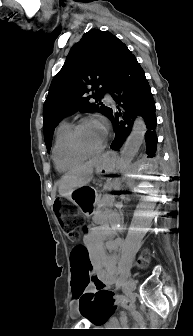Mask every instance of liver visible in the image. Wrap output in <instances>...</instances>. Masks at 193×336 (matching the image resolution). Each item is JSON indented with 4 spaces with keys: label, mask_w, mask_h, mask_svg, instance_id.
<instances>
[{
    "label": "liver",
    "mask_w": 193,
    "mask_h": 336,
    "mask_svg": "<svg viewBox=\"0 0 193 336\" xmlns=\"http://www.w3.org/2000/svg\"><path fill=\"white\" fill-rule=\"evenodd\" d=\"M103 156L93 158L62 176L59 181V194L69 198L75 189L86 186L92 180L93 170L102 161Z\"/></svg>",
    "instance_id": "liver-1"
}]
</instances>
